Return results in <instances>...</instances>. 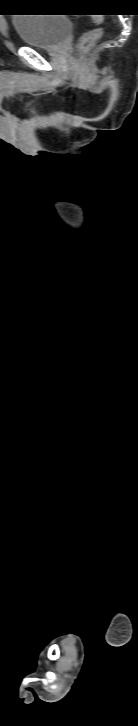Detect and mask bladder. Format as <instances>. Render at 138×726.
<instances>
[{
	"label": "bladder",
	"mask_w": 138,
	"mask_h": 726,
	"mask_svg": "<svg viewBox=\"0 0 138 726\" xmlns=\"http://www.w3.org/2000/svg\"><path fill=\"white\" fill-rule=\"evenodd\" d=\"M51 15L49 18H41ZM12 25L23 44L40 49H55L71 31V20L64 14H21Z\"/></svg>",
	"instance_id": "obj_1"
}]
</instances>
